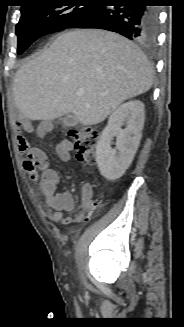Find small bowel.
Masks as SVG:
<instances>
[{
    "label": "small bowel",
    "instance_id": "c3829d8e",
    "mask_svg": "<svg viewBox=\"0 0 184 327\" xmlns=\"http://www.w3.org/2000/svg\"><path fill=\"white\" fill-rule=\"evenodd\" d=\"M50 130L51 124L43 122L37 127V135L39 138L44 139ZM56 152L61 160L67 162L71 158L72 144L65 140L58 144ZM27 153L28 157L23 159L22 167L31 180L38 181L39 188L44 196L48 218L61 224L72 223L73 219L66 217L65 213L72 212L75 209L74 198L69 192H56L59 174L50 167L47 155L39 148L28 147ZM38 170H41L40 174ZM101 204V198L93 200L89 193H84L81 198L82 211L76 216L75 220L78 222L87 220Z\"/></svg>",
    "mask_w": 184,
    "mask_h": 327
}]
</instances>
